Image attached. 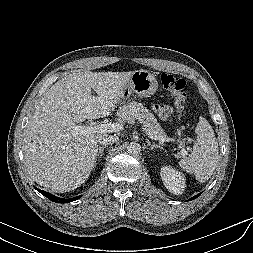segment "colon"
I'll return each mask as SVG.
<instances>
[{
	"instance_id": "obj_1",
	"label": "colon",
	"mask_w": 253,
	"mask_h": 253,
	"mask_svg": "<svg viewBox=\"0 0 253 253\" xmlns=\"http://www.w3.org/2000/svg\"><path fill=\"white\" fill-rule=\"evenodd\" d=\"M161 83L163 87L169 91L176 105L180 109H183L187 103L184 80L172 74L163 73L161 75Z\"/></svg>"
}]
</instances>
